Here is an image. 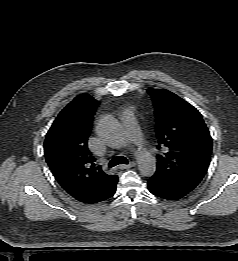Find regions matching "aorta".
<instances>
[{"label":"aorta","instance_id":"aorta-1","mask_svg":"<svg viewBox=\"0 0 238 261\" xmlns=\"http://www.w3.org/2000/svg\"><path fill=\"white\" fill-rule=\"evenodd\" d=\"M101 135L110 142L122 143L124 133L118 122L111 116L104 117L100 123ZM138 169L144 177L152 176L156 171V160L148 152H135Z\"/></svg>","mask_w":238,"mask_h":261}]
</instances>
